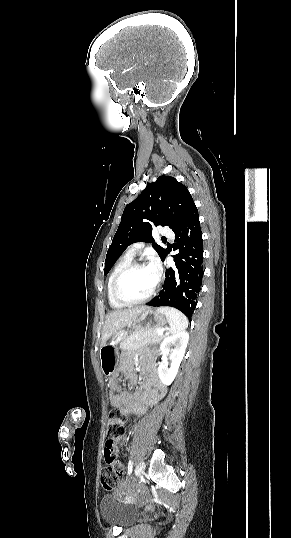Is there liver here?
<instances>
[{"mask_svg": "<svg viewBox=\"0 0 291 538\" xmlns=\"http://www.w3.org/2000/svg\"><path fill=\"white\" fill-rule=\"evenodd\" d=\"M147 309H149V307L139 306L109 312L105 317L102 329L101 347L104 346L107 340L119 330L125 327H130L138 316Z\"/></svg>", "mask_w": 291, "mask_h": 538, "instance_id": "6515ba94", "label": "liver"}]
</instances>
